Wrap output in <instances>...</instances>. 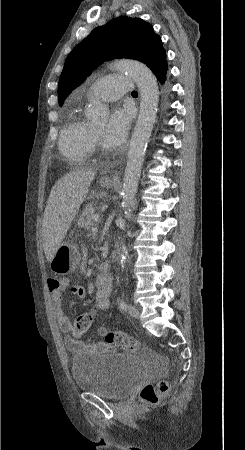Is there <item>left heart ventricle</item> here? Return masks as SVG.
I'll return each instance as SVG.
<instances>
[{
  "mask_svg": "<svg viewBox=\"0 0 245 450\" xmlns=\"http://www.w3.org/2000/svg\"><path fill=\"white\" fill-rule=\"evenodd\" d=\"M93 129L95 130V132L100 136L103 137V133H104V129H105V124H99V125H94Z\"/></svg>",
  "mask_w": 245,
  "mask_h": 450,
  "instance_id": "obj_1",
  "label": "left heart ventricle"
}]
</instances>
